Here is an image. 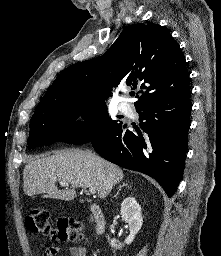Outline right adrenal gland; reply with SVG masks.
Instances as JSON below:
<instances>
[{"label": "right adrenal gland", "instance_id": "2a0ac1e0", "mask_svg": "<svg viewBox=\"0 0 221 256\" xmlns=\"http://www.w3.org/2000/svg\"><path fill=\"white\" fill-rule=\"evenodd\" d=\"M124 186H128V184L123 183L122 185H120V186L118 187V189H121V188L124 187Z\"/></svg>", "mask_w": 221, "mask_h": 256}]
</instances>
